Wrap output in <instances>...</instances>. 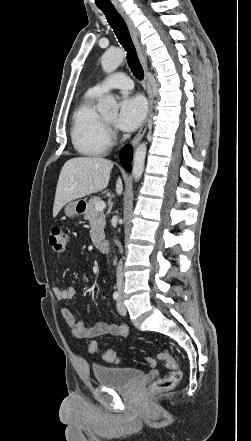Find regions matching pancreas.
Segmentation results:
<instances>
[{"mask_svg": "<svg viewBox=\"0 0 251 441\" xmlns=\"http://www.w3.org/2000/svg\"><path fill=\"white\" fill-rule=\"evenodd\" d=\"M100 201L99 197L91 198L86 207L84 217L89 220L91 230L90 237L93 243H97L104 239V228L106 225L105 214L102 211H97L95 205Z\"/></svg>", "mask_w": 251, "mask_h": 441, "instance_id": "obj_1", "label": "pancreas"}]
</instances>
